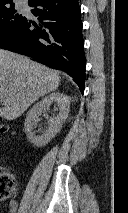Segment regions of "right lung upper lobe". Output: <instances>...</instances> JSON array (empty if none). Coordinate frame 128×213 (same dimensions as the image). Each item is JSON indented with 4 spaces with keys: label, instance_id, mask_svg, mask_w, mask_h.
Wrapping results in <instances>:
<instances>
[{
    "label": "right lung upper lobe",
    "instance_id": "right-lung-upper-lobe-1",
    "mask_svg": "<svg viewBox=\"0 0 128 213\" xmlns=\"http://www.w3.org/2000/svg\"><path fill=\"white\" fill-rule=\"evenodd\" d=\"M34 0H28V3L30 4ZM13 4V0H0V6Z\"/></svg>",
    "mask_w": 128,
    "mask_h": 213
}]
</instances>
